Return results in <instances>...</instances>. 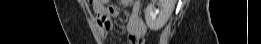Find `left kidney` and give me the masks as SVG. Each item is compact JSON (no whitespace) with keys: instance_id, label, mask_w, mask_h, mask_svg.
I'll list each match as a JSON object with an SVG mask.
<instances>
[{"instance_id":"5707ae66","label":"left kidney","mask_w":261,"mask_h":44,"mask_svg":"<svg viewBox=\"0 0 261 44\" xmlns=\"http://www.w3.org/2000/svg\"><path fill=\"white\" fill-rule=\"evenodd\" d=\"M153 3L149 4L145 10L146 24L152 31L160 30L168 21L175 5V0H159L158 9Z\"/></svg>"}]
</instances>
